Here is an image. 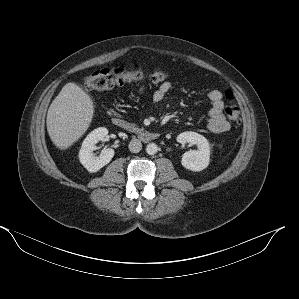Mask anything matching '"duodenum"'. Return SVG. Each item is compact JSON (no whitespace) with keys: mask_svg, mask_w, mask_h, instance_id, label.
I'll return each mask as SVG.
<instances>
[{"mask_svg":"<svg viewBox=\"0 0 299 299\" xmlns=\"http://www.w3.org/2000/svg\"><path fill=\"white\" fill-rule=\"evenodd\" d=\"M113 124L119 128L125 129V130L133 133L139 139H142L145 141H152V140H156L159 138V135L157 133L143 130V129L137 127L135 124H133L125 119L119 118V117H116L113 119Z\"/></svg>","mask_w":299,"mask_h":299,"instance_id":"410a0bca","label":"duodenum"}]
</instances>
